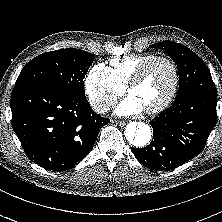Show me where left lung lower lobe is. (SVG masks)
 <instances>
[{"label": "left lung lower lobe", "instance_id": "obj_1", "mask_svg": "<svg viewBox=\"0 0 222 222\" xmlns=\"http://www.w3.org/2000/svg\"><path fill=\"white\" fill-rule=\"evenodd\" d=\"M217 96L195 93L175 99L154 118L153 140L144 148H132L137 160L153 170L174 169L199 155L213 130Z\"/></svg>", "mask_w": 222, "mask_h": 222}]
</instances>
